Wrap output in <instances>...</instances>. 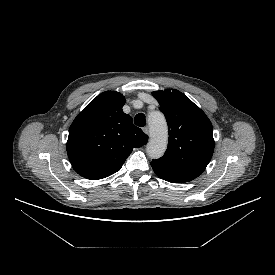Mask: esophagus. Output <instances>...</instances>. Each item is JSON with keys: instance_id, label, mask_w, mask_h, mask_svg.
<instances>
[{"instance_id": "1", "label": "esophagus", "mask_w": 275, "mask_h": 275, "mask_svg": "<svg viewBox=\"0 0 275 275\" xmlns=\"http://www.w3.org/2000/svg\"><path fill=\"white\" fill-rule=\"evenodd\" d=\"M143 131H144V133H146L147 135H149V127L148 126L144 127Z\"/></svg>"}]
</instances>
